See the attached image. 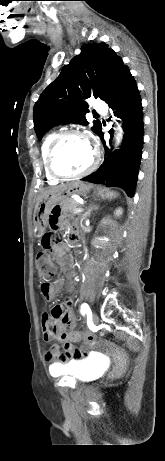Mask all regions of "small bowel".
Masks as SVG:
<instances>
[{
  "label": "small bowel",
  "instance_id": "small-bowel-1",
  "mask_svg": "<svg viewBox=\"0 0 165 461\" xmlns=\"http://www.w3.org/2000/svg\"><path fill=\"white\" fill-rule=\"evenodd\" d=\"M65 205L64 204H52L51 206V214H49L48 219L50 222H60L61 218L63 222H66L71 228L75 227V224L72 220L77 221L79 216L77 214H63L61 217V213L64 212ZM67 250V246L64 244L57 245L53 248V255L58 258L62 259L65 255ZM64 286L69 294L73 293V283L71 281V276L66 274L59 280L55 282L49 281H42L40 284V292L42 297L47 301H53L60 287ZM59 316L55 317L52 314H43L42 316V336L46 342H50L52 340H77L84 341V342H91L88 336V333H81L78 331L73 330L75 325L74 316L72 312V300L71 298H67L64 302L57 304ZM55 305L54 307H56ZM53 307V308H54ZM53 310V309H52ZM72 356L66 353L61 352V346L58 344L52 345L50 350L46 353V360L51 362V368L53 370H58L60 372L63 371V363L68 361Z\"/></svg>",
  "mask_w": 165,
  "mask_h": 461
}]
</instances>
